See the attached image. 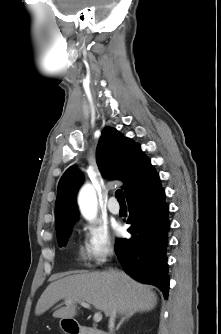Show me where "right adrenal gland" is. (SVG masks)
Returning a JSON list of instances; mask_svg holds the SVG:
<instances>
[{
    "label": "right adrenal gland",
    "mask_w": 221,
    "mask_h": 334,
    "mask_svg": "<svg viewBox=\"0 0 221 334\" xmlns=\"http://www.w3.org/2000/svg\"><path fill=\"white\" fill-rule=\"evenodd\" d=\"M134 313H135V312H131V313L125 315V316L120 320V322L118 323L116 329L118 330V329L120 328V326L122 325V323H123L125 320L129 319L130 317H132V315H133Z\"/></svg>",
    "instance_id": "right-adrenal-gland-1"
}]
</instances>
